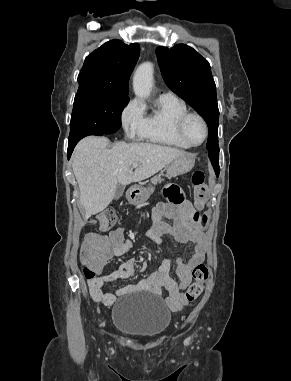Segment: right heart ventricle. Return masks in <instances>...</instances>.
<instances>
[{"label":"right heart ventricle","mask_w":291,"mask_h":381,"mask_svg":"<svg viewBox=\"0 0 291 381\" xmlns=\"http://www.w3.org/2000/svg\"><path fill=\"white\" fill-rule=\"evenodd\" d=\"M187 112L185 102L178 97L160 96L153 109L143 116L138 135L157 145L188 149L190 146L177 132V122Z\"/></svg>","instance_id":"1"}]
</instances>
